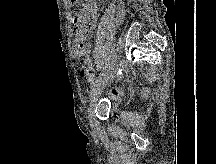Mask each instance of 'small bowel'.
<instances>
[{
  "label": "small bowel",
  "instance_id": "1",
  "mask_svg": "<svg viewBox=\"0 0 216 164\" xmlns=\"http://www.w3.org/2000/svg\"><path fill=\"white\" fill-rule=\"evenodd\" d=\"M97 21V8L93 0L87 2L74 16L73 53L76 58L83 59L85 66L93 67V61L89 57L91 43L88 39Z\"/></svg>",
  "mask_w": 216,
  "mask_h": 164
}]
</instances>
